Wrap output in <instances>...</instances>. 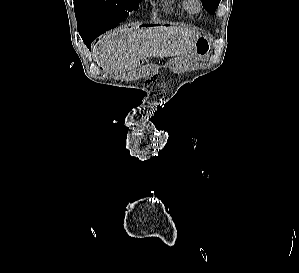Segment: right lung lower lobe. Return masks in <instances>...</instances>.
Here are the masks:
<instances>
[{
	"label": "right lung lower lobe",
	"instance_id": "obj_1",
	"mask_svg": "<svg viewBox=\"0 0 299 273\" xmlns=\"http://www.w3.org/2000/svg\"><path fill=\"white\" fill-rule=\"evenodd\" d=\"M107 30H110V29H108V28H93V29H88V30H85V31L79 32V33H80V36L83 39L84 43L86 44V46L89 48V50H91L92 41H94L99 35H101L102 33H104Z\"/></svg>",
	"mask_w": 299,
	"mask_h": 273
}]
</instances>
